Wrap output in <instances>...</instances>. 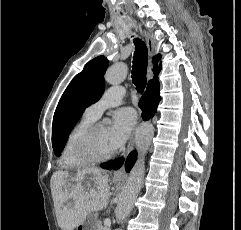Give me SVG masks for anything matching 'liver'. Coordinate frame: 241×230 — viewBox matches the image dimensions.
<instances>
[{
  "mask_svg": "<svg viewBox=\"0 0 241 230\" xmlns=\"http://www.w3.org/2000/svg\"><path fill=\"white\" fill-rule=\"evenodd\" d=\"M86 175L94 176V182L84 184ZM69 181L75 184L71 185ZM51 193L59 227L74 230L90 213L107 206L110 197L108 176L94 167L78 170L73 177L68 172L56 171L51 177Z\"/></svg>",
  "mask_w": 241,
  "mask_h": 230,
  "instance_id": "1",
  "label": "liver"
}]
</instances>
